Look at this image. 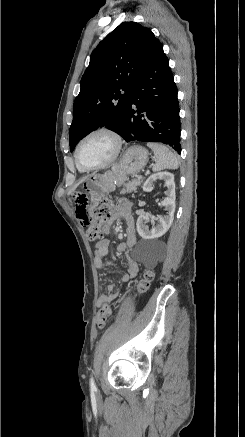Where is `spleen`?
I'll list each match as a JSON object with an SVG mask.
<instances>
[{"label": "spleen", "instance_id": "spleen-1", "mask_svg": "<svg viewBox=\"0 0 245 437\" xmlns=\"http://www.w3.org/2000/svg\"><path fill=\"white\" fill-rule=\"evenodd\" d=\"M147 146L152 149L156 162L152 166L154 172L164 169H177L179 166L178 156L171 151L167 146L158 143H147Z\"/></svg>", "mask_w": 245, "mask_h": 437}]
</instances>
